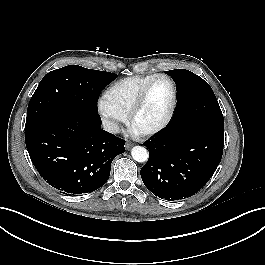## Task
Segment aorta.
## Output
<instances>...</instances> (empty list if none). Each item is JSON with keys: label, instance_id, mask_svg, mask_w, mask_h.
<instances>
[{"label": "aorta", "instance_id": "aorta-1", "mask_svg": "<svg viewBox=\"0 0 265 265\" xmlns=\"http://www.w3.org/2000/svg\"><path fill=\"white\" fill-rule=\"evenodd\" d=\"M132 158L140 163L146 162L148 160V151L142 146H134L131 150Z\"/></svg>", "mask_w": 265, "mask_h": 265}]
</instances>
